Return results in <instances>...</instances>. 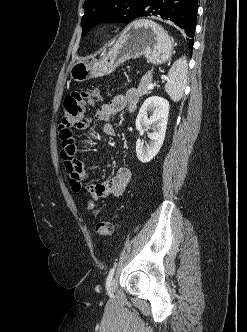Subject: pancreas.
<instances>
[{"instance_id": "1", "label": "pancreas", "mask_w": 247, "mask_h": 332, "mask_svg": "<svg viewBox=\"0 0 247 332\" xmlns=\"http://www.w3.org/2000/svg\"><path fill=\"white\" fill-rule=\"evenodd\" d=\"M152 81V74L147 73L145 74L139 84L138 89L136 90V94L140 97L146 94H149L150 91L148 90V85Z\"/></svg>"}]
</instances>
